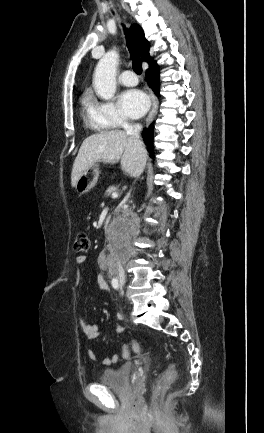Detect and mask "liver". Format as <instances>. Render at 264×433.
Listing matches in <instances>:
<instances>
[{
    "label": "liver",
    "mask_w": 264,
    "mask_h": 433,
    "mask_svg": "<svg viewBox=\"0 0 264 433\" xmlns=\"http://www.w3.org/2000/svg\"><path fill=\"white\" fill-rule=\"evenodd\" d=\"M147 152L134 137L121 130L100 132L87 137L75 158L71 184L75 187L79 177L98 161L115 164L120 161L122 170L136 177L143 171Z\"/></svg>",
    "instance_id": "1"
}]
</instances>
